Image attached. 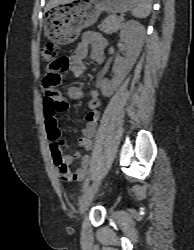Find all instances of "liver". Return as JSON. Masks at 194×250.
I'll use <instances>...</instances> for the list:
<instances>
[{
    "instance_id": "obj_1",
    "label": "liver",
    "mask_w": 194,
    "mask_h": 250,
    "mask_svg": "<svg viewBox=\"0 0 194 250\" xmlns=\"http://www.w3.org/2000/svg\"><path fill=\"white\" fill-rule=\"evenodd\" d=\"M75 0H49V2L46 5V10L50 9L51 7L59 4H66V3H71Z\"/></svg>"
}]
</instances>
